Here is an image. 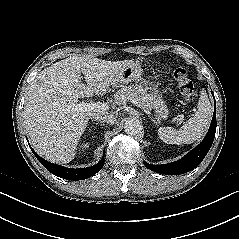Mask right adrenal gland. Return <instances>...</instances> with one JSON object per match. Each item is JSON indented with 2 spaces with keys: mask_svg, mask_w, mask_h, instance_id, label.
Returning a JSON list of instances; mask_svg holds the SVG:
<instances>
[{
  "mask_svg": "<svg viewBox=\"0 0 239 239\" xmlns=\"http://www.w3.org/2000/svg\"><path fill=\"white\" fill-rule=\"evenodd\" d=\"M99 123H103V122H99V121H98V122H96V125L99 124Z\"/></svg>",
  "mask_w": 239,
  "mask_h": 239,
  "instance_id": "1",
  "label": "right adrenal gland"
}]
</instances>
